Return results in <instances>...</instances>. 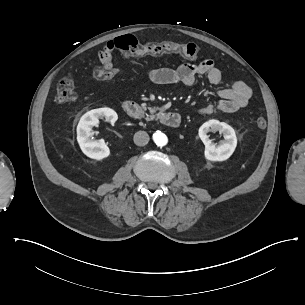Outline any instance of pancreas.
<instances>
[{
    "instance_id": "pancreas-1",
    "label": "pancreas",
    "mask_w": 305,
    "mask_h": 305,
    "mask_svg": "<svg viewBox=\"0 0 305 305\" xmlns=\"http://www.w3.org/2000/svg\"><path fill=\"white\" fill-rule=\"evenodd\" d=\"M142 107H143L144 109H146V104H142ZM155 111H156V108H151V109H150V115H147L145 119H146L147 121L154 120V119L156 118V115H154Z\"/></svg>"
}]
</instances>
